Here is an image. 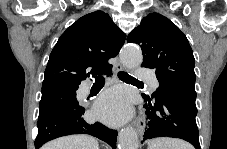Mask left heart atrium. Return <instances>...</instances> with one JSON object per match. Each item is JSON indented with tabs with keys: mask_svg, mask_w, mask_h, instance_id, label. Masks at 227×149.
I'll return each mask as SVG.
<instances>
[{
	"mask_svg": "<svg viewBox=\"0 0 227 149\" xmlns=\"http://www.w3.org/2000/svg\"><path fill=\"white\" fill-rule=\"evenodd\" d=\"M130 113L128 96L121 89H111L103 93L95 107V115L111 124L125 121Z\"/></svg>",
	"mask_w": 227,
	"mask_h": 149,
	"instance_id": "obj_1",
	"label": "left heart atrium"
}]
</instances>
